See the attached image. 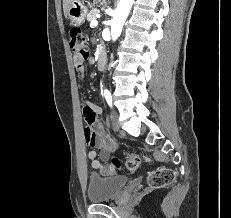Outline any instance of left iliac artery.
Segmentation results:
<instances>
[{"instance_id":"1","label":"left iliac artery","mask_w":231,"mask_h":218,"mask_svg":"<svg viewBox=\"0 0 231 218\" xmlns=\"http://www.w3.org/2000/svg\"><path fill=\"white\" fill-rule=\"evenodd\" d=\"M105 99L110 107H112V97L109 91L104 92Z\"/></svg>"}]
</instances>
